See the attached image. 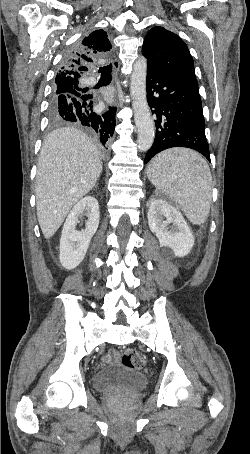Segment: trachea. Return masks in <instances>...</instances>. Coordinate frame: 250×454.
<instances>
[{
    "label": "trachea",
    "mask_w": 250,
    "mask_h": 454,
    "mask_svg": "<svg viewBox=\"0 0 250 454\" xmlns=\"http://www.w3.org/2000/svg\"><path fill=\"white\" fill-rule=\"evenodd\" d=\"M101 73L100 83L106 85L112 80V67L110 65L99 68Z\"/></svg>",
    "instance_id": "3493384b"
}]
</instances>
